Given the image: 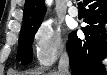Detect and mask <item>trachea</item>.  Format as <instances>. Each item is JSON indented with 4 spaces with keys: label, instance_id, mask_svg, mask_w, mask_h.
I'll use <instances>...</instances> for the list:
<instances>
[{
    "label": "trachea",
    "instance_id": "trachea-1",
    "mask_svg": "<svg viewBox=\"0 0 107 75\" xmlns=\"http://www.w3.org/2000/svg\"><path fill=\"white\" fill-rule=\"evenodd\" d=\"M77 1H78V0H77ZM78 4H79V5H82V3H81V2H79Z\"/></svg>",
    "mask_w": 107,
    "mask_h": 75
}]
</instances>
